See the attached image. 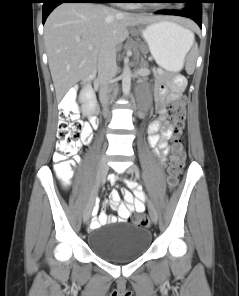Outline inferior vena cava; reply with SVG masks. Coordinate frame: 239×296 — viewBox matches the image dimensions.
Returning a JSON list of instances; mask_svg holds the SVG:
<instances>
[{"instance_id":"inferior-vena-cava-1","label":"inferior vena cava","mask_w":239,"mask_h":296,"mask_svg":"<svg viewBox=\"0 0 239 296\" xmlns=\"http://www.w3.org/2000/svg\"><path fill=\"white\" fill-rule=\"evenodd\" d=\"M97 66L100 82L99 98L103 107L106 109L109 104L110 84L117 72L116 52L114 47L101 52Z\"/></svg>"}]
</instances>
